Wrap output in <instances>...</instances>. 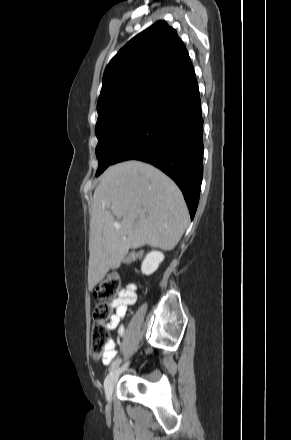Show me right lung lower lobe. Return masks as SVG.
<instances>
[{
    "mask_svg": "<svg viewBox=\"0 0 291 440\" xmlns=\"http://www.w3.org/2000/svg\"><path fill=\"white\" fill-rule=\"evenodd\" d=\"M203 151L201 101L193 71L154 98L111 165L135 159L156 166L179 186L193 219L203 177Z\"/></svg>",
    "mask_w": 291,
    "mask_h": 440,
    "instance_id": "1",
    "label": "right lung lower lobe"
}]
</instances>
